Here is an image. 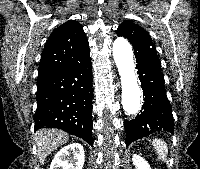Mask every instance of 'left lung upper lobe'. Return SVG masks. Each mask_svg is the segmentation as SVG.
<instances>
[{
  "mask_svg": "<svg viewBox=\"0 0 200 169\" xmlns=\"http://www.w3.org/2000/svg\"><path fill=\"white\" fill-rule=\"evenodd\" d=\"M117 35L123 36L132 43L136 61H144L161 68L155 46L149 34L132 21H124L117 29Z\"/></svg>",
  "mask_w": 200,
  "mask_h": 169,
  "instance_id": "5c2ea615",
  "label": "left lung upper lobe"
}]
</instances>
